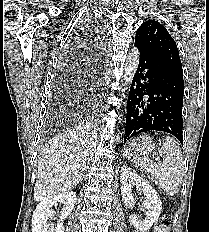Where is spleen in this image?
<instances>
[{
  "mask_svg": "<svg viewBox=\"0 0 209 232\" xmlns=\"http://www.w3.org/2000/svg\"><path fill=\"white\" fill-rule=\"evenodd\" d=\"M159 153L163 158L161 163H153L147 157L134 156V161L140 171L155 179L157 185L170 196L178 193L183 175L184 159L181 148L172 137H165Z\"/></svg>",
  "mask_w": 209,
  "mask_h": 232,
  "instance_id": "spleen-1",
  "label": "spleen"
}]
</instances>
